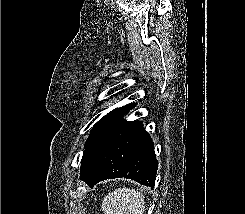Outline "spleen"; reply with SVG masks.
I'll return each mask as SVG.
<instances>
[{"mask_svg": "<svg viewBox=\"0 0 245 214\" xmlns=\"http://www.w3.org/2000/svg\"><path fill=\"white\" fill-rule=\"evenodd\" d=\"M101 209L104 214H144V196L135 189L118 188L104 197Z\"/></svg>", "mask_w": 245, "mask_h": 214, "instance_id": "1", "label": "spleen"}]
</instances>
